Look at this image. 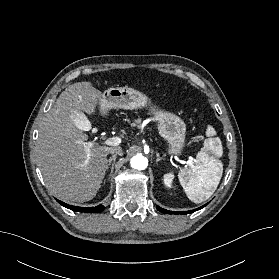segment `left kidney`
Masks as SVG:
<instances>
[{"instance_id":"1","label":"left kidney","mask_w":279,"mask_h":279,"mask_svg":"<svg viewBox=\"0 0 279 279\" xmlns=\"http://www.w3.org/2000/svg\"><path fill=\"white\" fill-rule=\"evenodd\" d=\"M173 179H174V174L173 173H167L164 175V184L167 188H172L173 187Z\"/></svg>"}]
</instances>
